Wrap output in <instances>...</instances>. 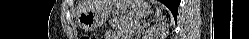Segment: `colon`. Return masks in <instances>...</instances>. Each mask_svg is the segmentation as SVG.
Masks as SVG:
<instances>
[{"label":"colon","mask_w":249,"mask_h":39,"mask_svg":"<svg viewBox=\"0 0 249 39\" xmlns=\"http://www.w3.org/2000/svg\"><path fill=\"white\" fill-rule=\"evenodd\" d=\"M81 39H92V37L89 36V35L84 34V35L81 36Z\"/></svg>","instance_id":"1"}]
</instances>
